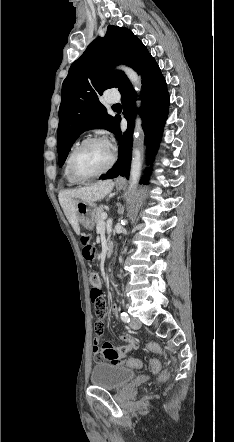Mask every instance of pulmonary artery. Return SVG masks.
<instances>
[{
	"mask_svg": "<svg viewBox=\"0 0 234 442\" xmlns=\"http://www.w3.org/2000/svg\"><path fill=\"white\" fill-rule=\"evenodd\" d=\"M118 101H119V96L116 95V94H111V95H109V96L106 98V102H107V103H111V104H113V103H116V102H118Z\"/></svg>",
	"mask_w": 234,
	"mask_h": 442,
	"instance_id": "obj_1",
	"label": "pulmonary artery"
}]
</instances>
